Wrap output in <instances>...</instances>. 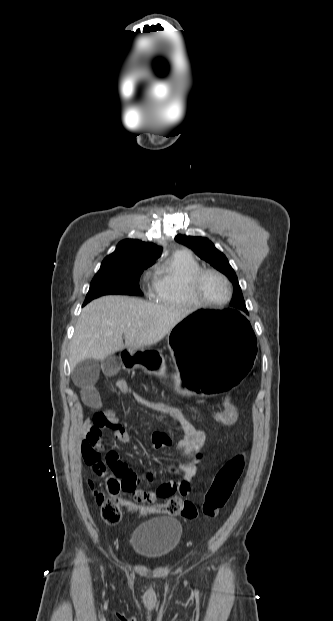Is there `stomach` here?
<instances>
[{
    "label": "stomach",
    "mask_w": 333,
    "mask_h": 621,
    "mask_svg": "<svg viewBox=\"0 0 333 621\" xmlns=\"http://www.w3.org/2000/svg\"><path fill=\"white\" fill-rule=\"evenodd\" d=\"M169 346L176 350L174 371L178 376L163 389L188 394L198 391L209 397L227 399L250 376L256 360V342L250 323L238 312L198 310L182 314L168 333ZM124 351L127 366L142 367L148 373L163 370L168 362L163 348Z\"/></svg>",
    "instance_id": "0dacf381"
}]
</instances>
